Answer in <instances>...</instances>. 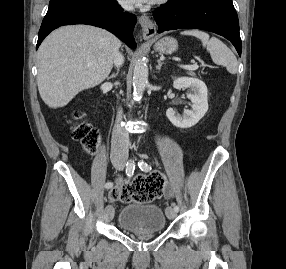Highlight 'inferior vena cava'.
<instances>
[{
  "instance_id": "1",
  "label": "inferior vena cava",
  "mask_w": 286,
  "mask_h": 269,
  "mask_svg": "<svg viewBox=\"0 0 286 269\" xmlns=\"http://www.w3.org/2000/svg\"><path fill=\"white\" fill-rule=\"evenodd\" d=\"M123 7L127 10L132 9V5L130 4H124ZM123 61V56L117 52L114 57V64L119 67ZM121 118L122 112L118 111L116 125L112 133L111 158L113 161L126 162L129 156V135L119 126Z\"/></svg>"
}]
</instances>
